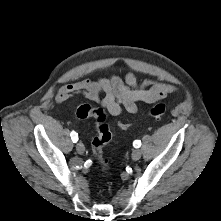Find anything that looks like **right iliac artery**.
Instances as JSON below:
<instances>
[{"mask_svg": "<svg viewBox=\"0 0 221 221\" xmlns=\"http://www.w3.org/2000/svg\"><path fill=\"white\" fill-rule=\"evenodd\" d=\"M71 138H72V141L74 142V143H76L77 142V140H78V134L76 133V132H71Z\"/></svg>", "mask_w": 221, "mask_h": 221, "instance_id": "1", "label": "right iliac artery"}]
</instances>
